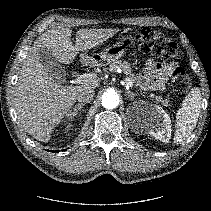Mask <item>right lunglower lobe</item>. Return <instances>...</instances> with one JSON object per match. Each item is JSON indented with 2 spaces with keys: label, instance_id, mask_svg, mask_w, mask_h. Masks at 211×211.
<instances>
[{
  "label": "right lung lower lobe",
  "instance_id": "98d812e1",
  "mask_svg": "<svg viewBox=\"0 0 211 211\" xmlns=\"http://www.w3.org/2000/svg\"><path fill=\"white\" fill-rule=\"evenodd\" d=\"M51 152H59V151H51Z\"/></svg>",
  "mask_w": 211,
  "mask_h": 211
}]
</instances>
